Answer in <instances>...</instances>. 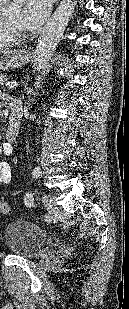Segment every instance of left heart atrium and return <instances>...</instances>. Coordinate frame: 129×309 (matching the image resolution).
Returning <instances> with one entry per match:
<instances>
[{
	"label": "left heart atrium",
	"mask_w": 129,
	"mask_h": 309,
	"mask_svg": "<svg viewBox=\"0 0 129 309\" xmlns=\"http://www.w3.org/2000/svg\"><path fill=\"white\" fill-rule=\"evenodd\" d=\"M49 12V0H25L22 10V22L27 30L38 28Z\"/></svg>",
	"instance_id": "1"
}]
</instances>
